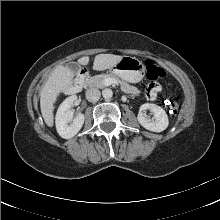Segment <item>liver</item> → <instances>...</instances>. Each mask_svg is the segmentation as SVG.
<instances>
[{"mask_svg":"<svg viewBox=\"0 0 220 220\" xmlns=\"http://www.w3.org/2000/svg\"><path fill=\"white\" fill-rule=\"evenodd\" d=\"M123 56L113 54H99L95 57L93 69L103 71L116 65ZM78 63L86 66L89 63V57H81ZM75 73L69 66H57L40 92V108L42 117L47 126L54 124V104L60 93L66 91L74 82Z\"/></svg>","mask_w":220,"mask_h":220,"instance_id":"6515ba94","label":"liver"}]
</instances>
